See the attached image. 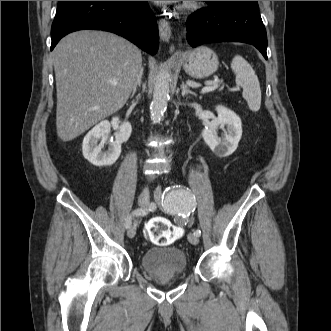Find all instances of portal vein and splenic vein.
<instances>
[{
    "label": "portal vein and splenic vein",
    "mask_w": 331,
    "mask_h": 331,
    "mask_svg": "<svg viewBox=\"0 0 331 331\" xmlns=\"http://www.w3.org/2000/svg\"><path fill=\"white\" fill-rule=\"evenodd\" d=\"M111 84L113 86H116L117 85V82L116 81H112ZM218 88V82H214L213 85L211 86H207V87H204L202 90H201V93H208V92H211V91H214L215 89Z\"/></svg>",
    "instance_id": "18ae733b"
}]
</instances>
